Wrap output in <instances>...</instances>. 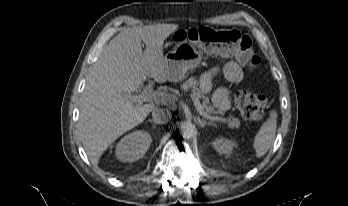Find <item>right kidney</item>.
<instances>
[{
	"mask_svg": "<svg viewBox=\"0 0 348 206\" xmlns=\"http://www.w3.org/2000/svg\"><path fill=\"white\" fill-rule=\"evenodd\" d=\"M152 142L145 131H134L125 135L116 146V156L122 162H134L144 156Z\"/></svg>",
	"mask_w": 348,
	"mask_h": 206,
	"instance_id": "obj_1",
	"label": "right kidney"
}]
</instances>
